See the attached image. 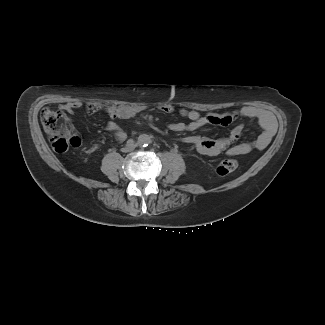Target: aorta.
<instances>
[{
  "label": "aorta",
  "mask_w": 325,
  "mask_h": 325,
  "mask_svg": "<svg viewBox=\"0 0 325 325\" xmlns=\"http://www.w3.org/2000/svg\"><path fill=\"white\" fill-rule=\"evenodd\" d=\"M137 143L140 147H147L151 143V138L147 134H141L138 137Z\"/></svg>",
  "instance_id": "762f6f07"
}]
</instances>
